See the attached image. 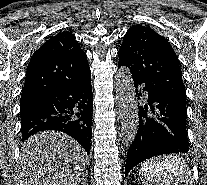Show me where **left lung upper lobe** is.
Wrapping results in <instances>:
<instances>
[{"label":"left lung upper lobe","mask_w":207,"mask_h":185,"mask_svg":"<svg viewBox=\"0 0 207 185\" xmlns=\"http://www.w3.org/2000/svg\"><path fill=\"white\" fill-rule=\"evenodd\" d=\"M119 66H127L133 78H142L186 107L179 60L168 41L154 30L132 26L118 51Z\"/></svg>","instance_id":"5c2ea615"}]
</instances>
